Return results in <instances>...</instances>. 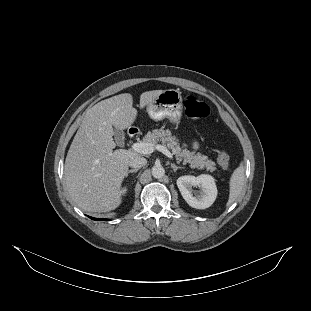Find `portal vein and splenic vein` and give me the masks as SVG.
Listing matches in <instances>:
<instances>
[{
    "mask_svg": "<svg viewBox=\"0 0 311 311\" xmlns=\"http://www.w3.org/2000/svg\"><path fill=\"white\" fill-rule=\"evenodd\" d=\"M130 149L133 152L141 153V154H150L154 151L153 146L148 143L144 142H134L130 145ZM157 150L163 153L167 158H169L171 161H174V156L172 152L168 150L167 147H164L162 145L157 146Z\"/></svg>",
    "mask_w": 311,
    "mask_h": 311,
    "instance_id": "1",
    "label": "portal vein and splenic vein"
}]
</instances>
